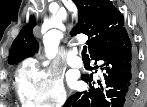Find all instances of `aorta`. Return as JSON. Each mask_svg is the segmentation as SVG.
<instances>
[{
    "label": "aorta",
    "mask_w": 147,
    "mask_h": 107,
    "mask_svg": "<svg viewBox=\"0 0 147 107\" xmlns=\"http://www.w3.org/2000/svg\"><path fill=\"white\" fill-rule=\"evenodd\" d=\"M61 33L57 30L49 31L44 37L45 52L48 59H53L58 51ZM45 62L44 65H47Z\"/></svg>",
    "instance_id": "aorta-1"
}]
</instances>
